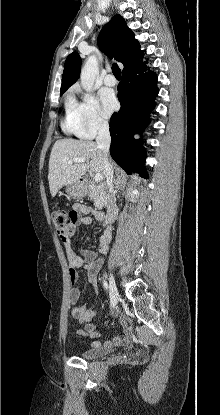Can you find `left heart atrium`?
Instances as JSON below:
<instances>
[{
	"label": "left heart atrium",
	"instance_id": "39dd6f15",
	"mask_svg": "<svg viewBox=\"0 0 220 415\" xmlns=\"http://www.w3.org/2000/svg\"><path fill=\"white\" fill-rule=\"evenodd\" d=\"M101 108L104 116L108 117L116 110L118 102L112 90L103 89L100 94Z\"/></svg>",
	"mask_w": 220,
	"mask_h": 415
}]
</instances>
